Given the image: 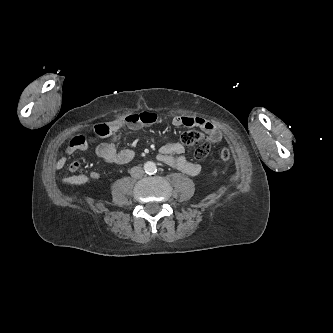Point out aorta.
Here are the masks:
<instances>
[{
	"mask_svg": "<svg viewBox=\"0 0 333 333\" xmlns=\"http://www.w3.org/2000/svg\"><path fill=\"white\" fill-rule=\"evenodd\" d=\"M144 170L147 174H152L157 171L156 164L152 161H147L144 163Z\"/></svg>",
	"mask_w": 333,
	"mask_h": 333,
	"instance_id": "aorta-1",
	"label": "aorta"
}]
</instances>
